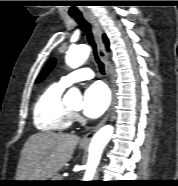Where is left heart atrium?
Segmentation results:
<instances>
[{
    "mask_svg": "<svg viewBox=\"0 0 178 186\" xmlns=\"http://www.w3.org/2000/svg\"><path fill=\"white\" fill-rule=\"evenodd\" d=\"M110 102L109 91L101 82L91 84L84 93L83 113L89 118L101 116Z\"/></svg>",
    "mask_w": 178,
    "mask_h": 186,
    "instance_id": "39dd6f15",
    "label": "left heart atrium"
}]
</instances>
